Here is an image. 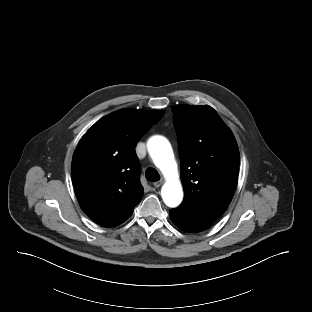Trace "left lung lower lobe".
Listing matches in <instances>:
<instances>
[{"label": "left lung lower lobe", "instance_id": "1", "mask_svg": "<svg viewBox=\"0 0 312 312\" xmlns=\"http://www.w3.org/2000/svg\"><path fill=\"white\" fill-rule=\"evenodd\" d=\"M169 215L175 225L187 232L203 231L210 227L213 223L211 221L193 216L179 208L170 210Z\"/></svg>", "mask_w": 312, "mask_h": 312}]
</instances>
